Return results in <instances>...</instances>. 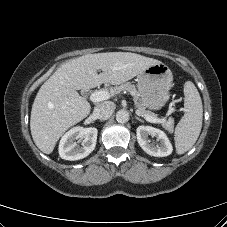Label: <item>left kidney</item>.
<instances>
[{
    "label": "left kidney",
    "mask_w": 227,
    "mask_h": 227,
    "mask_svg": "<svg viewBox=\"0 0 227 227\" xmlns=\"http://www.w3.org/2000/svg\"><path fill=\"white\" fill-rule=\"evenodd\" d=\"M136 131L137 141L147 154L155 157H165L172 153V144L162 130L151 126H139ZM149 135L156 137L160 141V144L155 145L151 143L148 137Z\"/></svg>",
    "instance_id": "1"
}]
</instances>
